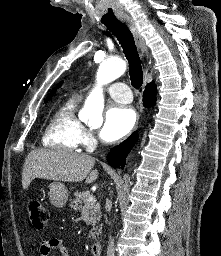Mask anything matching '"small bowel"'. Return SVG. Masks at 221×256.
<instances>
[{
  "instance_id": "obj_1",
  "label": "small bowel",
  "mask_w": 221,
  "mask_h": 256,
  "mask_svg": "<svg viewBox=\"0 0 221 256\" xmlns=\"http://www.w3.org/2000/svg\"><path fill=\"white\" fill-rule=\"evenodd\" d=\"M53 252H57L59 256H69L62 239L52 238L44 240L40 245V255L51 256Z\"/></svg>"
}]
</instances>
